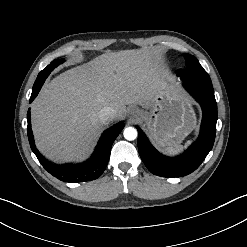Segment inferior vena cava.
<instances>
[{
  "label": "inferior vena cava",
  "instance_id": "602c4592",
  "mask_svg": "<svg viewBox=\"0 0 247 247\" xmlns=\"http://www.w3.org/2000/svg\"><path fill=\"white\" fill-rule=\"evenodd\" d=\"M116 111L111 107H104L99 113V121L102 124H107L115 119Z\"/></svg>",
  "mask_w": 247,
  "mask_h": 247
}]
</instances>
